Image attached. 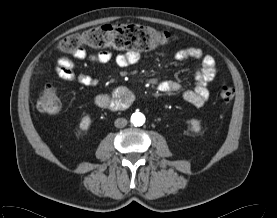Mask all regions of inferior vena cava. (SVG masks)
I'll return each instance as SVG.
<instances>
[{"label":"inferior vena cava","mask_w":277,"mask_h":218,"mask_svg":"<svg viewBox=\"0 0 277 218\" xmlns=\"http://www.w3.org/2000/svg\"><path fill=\"white\" fill-rule=\"evenodd\" d=\"M115 127L123 128L127 125V120L125 118H117L114 122Z\"/></svg>","instance_id":"1"}]
</instances>
